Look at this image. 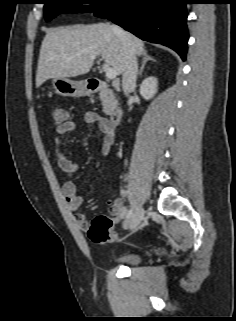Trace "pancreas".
<instances>
[{
  "label": "pancreas",
  "mask_w": 236,
  "mask_h": 321,
  "mask_svg": "<svg viewBox=\"0 0 236 321\" xmlns=\"http://www.w3.org/2000/svg\"><path fill=\"white\" fill-rule=\"evenodd\" d=\"M100 99L102 102L103 111L106 114L110 113V111L113 110L118 104L116 98L109 94H102Z\"/></svg>",
  "instance_id": "pancreas-1"
}]
</instances>
